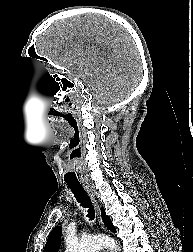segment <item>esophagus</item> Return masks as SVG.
<instances>
[{"label": "esophagus", "mask_w": 193, "mask_h": 252, "mask_svg": "<svg viewBox=\"0 0 193 252\" xmlns=\"http://www.w3.org/2000/svg\"><path fill=\"white\" fill-rule=\"evenodd\" d=\"M85 188H86V191H87V193H88V195H89V197H90V199H91V201L93 203V206H94L95 213H96V216L98 218L99 224H100L101 228L103 230H105L104 223H103V220H102V217H101L100 206H99V204H98V202H97V200H96V198L94 196V193H93V191H92V189L90 188L89 185L86 184Z\"/></svg>", "instance_id": "obj_1"}]
</instances>
